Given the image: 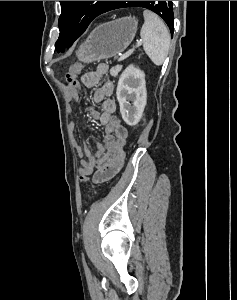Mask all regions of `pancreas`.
Instances as JSON below:
<instances>
[{
  "label": "pancreas",
  "mask_w": 237,
  "mask_h": 300,
  "mask_svg": "<svg viewBox=\"0 0 237 300\" xmlns=\"http://www.w3.org/2000/svg\"><path fill=\"white\" fill-rule=\"evenodd\" d=\"M121 67H122V65H116V67H113V69H110V75H112V77H117V73H119V71H121Z\"/></svg>",
  "instance_id": "1"
}]
</instances>
